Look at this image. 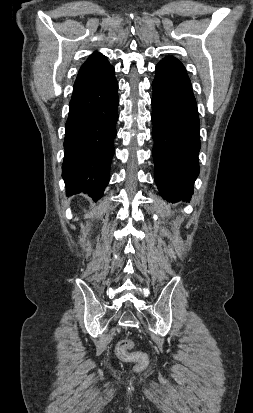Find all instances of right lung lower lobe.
<instances>
[{
    "instance_id": "1",
    "label": "right lung lower lobe",
    "mask_w": 253,
    "mask_h": 413,
    "mask_svg": "<svg viewBox=\"0 0 253 413\" xmlns=\"http://www.w3.org/2000/svg\"><path fill=\"white\" fill-rule=\"evenodd\" d=\"M118 104L113 66L92 86L73 93L62 164L67 195L83 192L93 200L103 196L115 152Z\"/></svg>"
}]
</instances>
